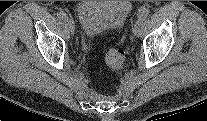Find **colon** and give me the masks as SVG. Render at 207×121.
<instances>
[{"label": "colon", "mask_w": 207, "mask_h": 121, "mask_svg": "<svg viewBox=\"0 0 207 121\" xmlns=\"http://www.w3.org/2000/svg\"><path fill=\"white\" fill-rule=\"evenodd\" d=\"M104 58L107 67L112 71H119L124 66L125 55L119 48H108L104 53Z\"/></svg>", "instance_id": "1"}]
</instances>
